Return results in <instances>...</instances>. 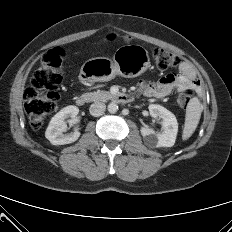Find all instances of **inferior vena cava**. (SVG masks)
Here are the masks:
<instances>
[{"instance_id": "obj_1", "label": "inferior vena cava", "mask_w": 232, "mask_h": 232, "mask_svg": "<svg viewBox=\"0 0 232 232\" xmlns=\"http://www.w3.org/2000/svg\"><path fill=\"white\" fill-rule=\"evenodd\" d=\"M105 109L106 105L103 102L97 101L91 104L89 111L92 116L98 117L103 115Z\"/></svg>"}]
</instances>
